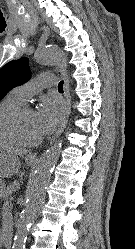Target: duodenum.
Returning a JSON list of instances; mask_svg holds the SVG:
<instances>
[{
	"label": "duodenum",
	"instance_id": "1",
	"mask_svg": "<svg viewBox=\"0 0 135 249\" xmlns=\"http://www.w3.org/2000/svg\"><path fill=\"white\" fill-rule=\"evenodd\" d=\"M0 244H1V246L5 247V248L10 249V247H11V238H10V236L2 235L0 237Z\"/></svg>",
	"mask_w": 135,
	"mask_h": 249
}]
</instances>
